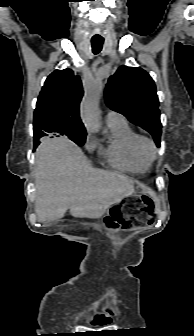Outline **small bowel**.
<instances>
[{
	"instance_id": "obj_1",
	"label": "small bowel",
	"mask_w": 194,
	"mask_h": 336,
	"mask_svg": "<svg viewBox=\"0 0 194 336\" xmlns=\"http://www.w3.org/2000/svg\"><path fill=\"white\" fill-rule=\"evenodd\" d=\"M107 322V318H101L99 320V324H105Z\"/></svg>"
}]
</instances>
